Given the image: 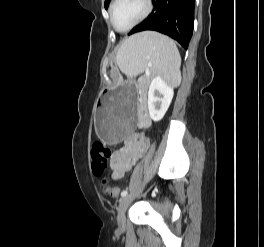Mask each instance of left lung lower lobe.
<instances>
[{"label":"left lung lower lobe","instance_id":"obj_1","mask_svg":"<svg viewBox=\"0 0 264 247\" xmlns=\"http://www.w3.org/2000/svg\"><path fill=\"white\" fill-rule=\"evenodd\" d=\"M154 9L128 35L154 30L178 41L187 49L193 33L195 0H152Z\"/></svg>","mask_w":264,"mask_h":247}]
</instances>
